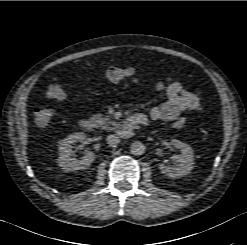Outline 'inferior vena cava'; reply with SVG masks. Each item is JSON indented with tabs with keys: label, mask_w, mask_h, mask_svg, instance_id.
Returning a JSON list of instances; mask_svg holds the SVG:
<instances>
[{
	"label": "inferior vena cava",
	"mask_w": 247,
	"mask_h": 245,
	"mask_svg": "<svg viewBox=\"0 0 247 245\" xmlns=\"http://www.w3.org/2000/svg\"><path fill=\"white\" fill-rule=\"evenodd\" d=\"M106 140H107V143L112 147H116L120 143L119 137H117L115 135L107 136Z\"/></svg>",
	"instance_id": "602c4592"
}]
</instances>
